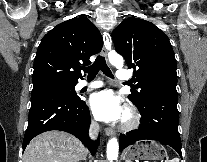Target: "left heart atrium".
I'll list each match as a JSON object with an SVG mask.
<instances>
[{
  "label": "left heart atrium",
  "mask_w": 207,
  "mask_h": 162,
  "mask_svg": "<svg viewBox=\"0 0 207 162\" xmlns=\"http://www.w3.org/2000/svg\"><path fill=\"white\" fill-rule=\"evenodd\" d=\"M94 116L101 121L114 122L124 117L125 105L112 90L94 93L89 101Z\"/></svg>",
  "instance_id": "left-heart-atrium-1"
}]
</instances>
